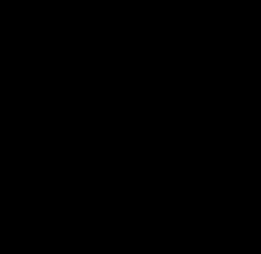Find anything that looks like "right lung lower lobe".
Returning <instances> with one entry per match:
<instances>
[{
  "instance_id": "1",
  "label": "right lung lower lobe",
  "mask_w": 261,
  "mask_h": 254,
  "mask_svg": "<svg viewBox=\"0 0 261 254\" xmlns=\"http://www.w3.org/2000/svg\"><path fill=\"white\" fill-rule=\"evenodd\" d=\"M91 144L81 131L66 128L45 139L50 172L62 191L81 198H96L102 189L105 167L89 159Z\"/></svg>"
}]
</instances>
